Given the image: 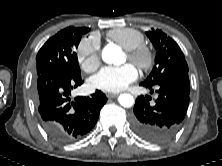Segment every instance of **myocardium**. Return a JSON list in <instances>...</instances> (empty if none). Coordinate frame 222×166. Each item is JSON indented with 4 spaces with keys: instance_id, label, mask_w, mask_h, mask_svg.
<instances>
[{
    "instance_id": "myocardium-1",
    "label": "myocardium",
    "mask_w": 222,
    "mask_h": 166,
    "mask_svg": "<svg viewBox=\"0 0 222 166\" xmlns=\"http://www.w3.org/2000/svg\"><path fill=\"white\" fill-rule=\"evenodd\" d=\"M126 51L129 60L136 64L140 69L147 70L152 65V54L149 49L143 45Z\"/></svg>"
}]
</instances>
